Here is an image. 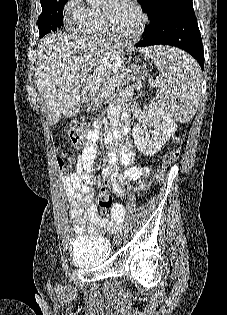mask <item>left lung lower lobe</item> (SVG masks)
<instances>
[{"label": "left lung lower lobe", "mask_w": 227, "mask_h": 315, "mask_svg": "<svg viewBox=\"0 0 227 315\" xmlns=\"http://www.w3.org/2000/svg\"><path fill=\"white\" fill-rule=\"evenodd\" d=\"M171 45L190 53L204 69V51L193 6L174 9L150 23L136 47Z\"/></svg>", "instance_id": "obj_1"}]
</instances>
